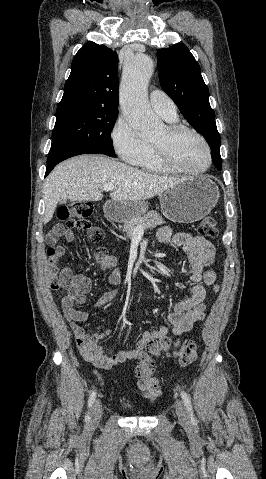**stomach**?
<instances>
[{
  "label": "stomach",
  "instance_id": "1",
  "mask_svg": "<svg viewBox=\"0 0 266 479\" xmlns=\"http://www.w3.org/2000/svg\"><path fill=\"white\" fill-rule=\"evenodd\" d=\"M219 199L217 185L207 176L193 177L164 191L160 195L163 214L178 223H193L215 207ZM148 210L144 201L108 202L104 206L105 215L114 221H127L142 216Z\"/></svg>",
  "mask_w": 266,
  "mask_h": 479
}]
</instances>
